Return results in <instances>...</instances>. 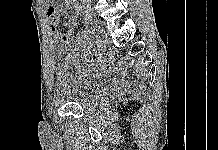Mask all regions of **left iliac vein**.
Masks as SVG:
<instances>
[{"instance_id":"4c4485c4","label":"left iliac vein","mask_w":218,"mask_h":150,"mask_svg":"<svg viewBox=\"0 0 218 150\" xmlns=\"http://www.w3.org/2000/svg\"><path fill=\"white\" fill-rule=\"evenodd\" d=\"M94 25L98 34L99 42L106 43L108 41V36L106 34L105 24L103 21L96 20L94 21Z\"/></svg>"}]
</instances>
